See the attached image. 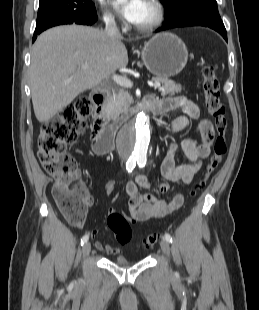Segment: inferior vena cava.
<instances>
[{
	"mask_svg": "<svg viewBox=\"0 0 259 310\" xmlns=\"http://www.w3.org/2000/svg\"><path fill=\"white\" fill-rule=\"evenodd\" d=\"M105 33L112 41H115L121 38V34L119 32V29L117 28L115 20L112 18L106 20Z\"/></svg>",
	"mask_w": 259,
	"mask_h": 310,
	"instance_id": "obj_1",
	"label": "inferior vena cava"
}]
</instances>
